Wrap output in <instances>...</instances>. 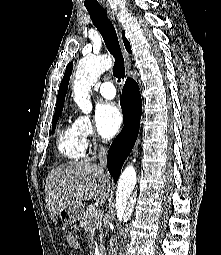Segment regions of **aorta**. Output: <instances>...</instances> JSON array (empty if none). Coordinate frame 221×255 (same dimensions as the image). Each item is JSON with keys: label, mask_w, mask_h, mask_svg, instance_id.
Listing matches in <instances>:
<instances>
[{"label": "aorta", "mask_w": 221, "mask_h": 255, "mask_svg": "<svg viewBox=\"0 0 221 255\" xmlns=\"http://www.w3.org/2000/svg\"><path fill=\"white\" fill-rule=\"evenodd\" d=\"M102 69L101 65L91 67L74 81L73 98L84 113H89L92 110L89 91L97 81ZM136 185L137 173L135 168L130 165L120 175L117 185L116 210L119 221L127 222L132 216L136 201Z\"/></svg>", "instance_id": "1"}]
</instances>
